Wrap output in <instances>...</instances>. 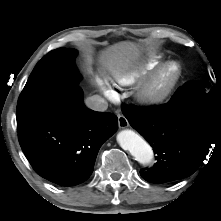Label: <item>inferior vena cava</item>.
Listing matches in <instances>:
<instances>
[{
  "label": "inferior vena cava",
  "mask_w": 221,
  "mask_h": 221,
  "mask_svg": "<svg viewBox=\"0 0 221 221\" xmlns=\"http://www.w3.org/2000/svg\"><path fill=\"white\" fill-rule=\"evenodd\" d=\"M85 104L88 108L94 110V111H106L108 108L107 101L100 97L99 95H93L91 97H88L85 100Z\"/></svg>",
  "instance_id": "602c4592"
}]
</instances>
